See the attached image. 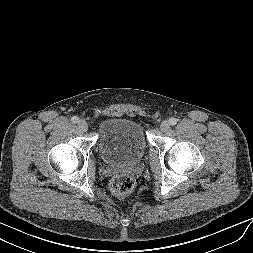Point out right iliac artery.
<instances>
[{
    "mask_svg": "<svg viewBox=\"0 0 253 253\" xmlns=\"http://www.w3.org/2000/svg\"><path fill=\"white\" fill-rule=\"evenodd\" d=\"M78 120H79V119H78L76 116H73V117L71 118L72 123H77Z\"/></svg>",
    "mask_w": 253,
    "mask_h": 253,
    "instance_id": "1",
    "label": "right iliac artery"
}]
</instances>
